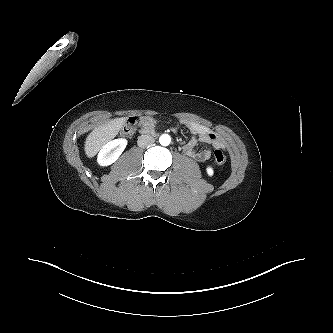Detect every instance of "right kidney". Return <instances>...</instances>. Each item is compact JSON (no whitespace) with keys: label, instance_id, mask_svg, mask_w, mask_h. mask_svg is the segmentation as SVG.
<instances>
[{"label":"right kidney","instance_id":"ca27d5eb","mask_svg":"<svg viewBox=\"0 0 333 333\" xmlns=\"http://www.w3.org/2000/svg\"><path fill=\"white\" fill-rule=\"evenodd\" d=\"M127 146L126 139H115L106 143L97 156V163L102 166H109L114 163Z\"/></svg>","mask_w":333,"mask_h":333}]
</instances>
